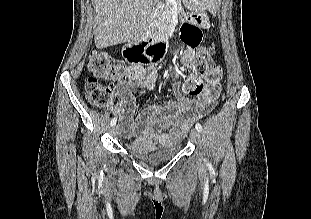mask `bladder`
Returning <instances> with one entry per match:
<instances>
[{
	"label": "bladder",
	"mask_w": 311,
	"mask_h": 219,
	"mask_svg": "<svg viewBox=\"0 0 311 219\" xmlns=\"http://www.w3.org/2000/svg\"><path fill=\"white\" fill-rule=\"evenodd\" d=\"M125 146L129 153L148 162L170 160L181 150L180 145L176 144L156 148L150 143L139 140L126 143Z\"/></svg>",
	"instance_id": "31cf9c89"
}]
</instances>
